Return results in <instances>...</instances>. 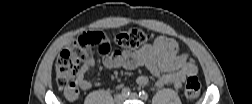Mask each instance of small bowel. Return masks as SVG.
Returning <instances> with one entry per match:
<instances>
[{"mask_svg": "<svg viewBox=\"0 0 252 104\" xmlns=\"http://www.w3.org/2000/svg\"><path fill=\"white\" fill-rule=\"evenodd\" d=\"M94 65L93 58L84 61L86 69L92 68ZM103 65L108 69L124 68L127 70L146 67L156 77L158 87L171 84L176 89L182 87L187 76L196 75L198 72L197 66L190 61L187 54H178L177 42L166 36H159L152 44L145 45L134 51L114 52L103 61ZM148 83L149 78L145 75L137 78L139 86H146ZM98 84L82 78L80 89L88 90ZM121 86V84L118 85V88Z\"/></svg>", "mask_w": 252, "mask_h": 104, "instance_id": "1", "label": "small bowel"}]
</instances>
